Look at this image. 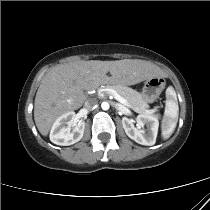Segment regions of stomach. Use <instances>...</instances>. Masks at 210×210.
<instances>
[{"mask_svg":"<svg viewBox=\"0 0 210 210\" xmlns=\"http://www.w3.org/2000/svg\"><path fill=\"white\" fill-rule=\"evenodd\" d=\"M166 82L162 77H153L144 82L142 96L147 103L154 102L164 90Z\"/></svg>","mask_w":210,"mask_h":210,"instance_id":"obj_1","label":"stomach"}]
</instances>
